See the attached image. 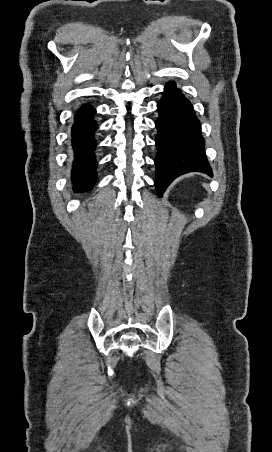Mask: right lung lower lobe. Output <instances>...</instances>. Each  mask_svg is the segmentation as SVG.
Returning <instances> with one entry per match:
<instances>
[{
  "label": "right lung lower lobe",
  "mask_w": 272,
  "mask_h": 452,
  "mask_svg": "<svg viewBox=\"0 0 272 452\" xmlns=\"http://www.w3.org/2000/svg\"><path fill=\"white\" fill-rule=\"evenodd\" d=\"M95 109L89 104L83 105L75 114L71 130L74 162L72 179L74 191L80 192L93 186L96 179V158L94 133L97 123L93 120Z\"/></svg>",
  "instance_id": "1"
}]
</instances>
